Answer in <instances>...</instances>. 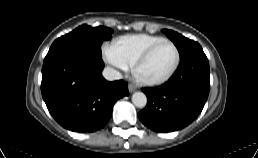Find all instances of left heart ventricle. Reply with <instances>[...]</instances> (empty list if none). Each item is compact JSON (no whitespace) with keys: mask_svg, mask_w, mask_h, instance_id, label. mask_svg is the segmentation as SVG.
<instances>
[{"mask_svg":"<svg viewBox=\"0 0 258 158\" xmlns=\"http://www.w3.org/2000/svg\"><path fill=\"white\" fill-rule=\"evenodd\" d=\"M176 52L172 45H160L148 58L140 69V74L145 78L155 79L166 74L174 65Z\"/></svg>","mask_w":258,"mask_h":158,"instance_id":"left-heart-ventricle-1","label":"left heart ventricle"}]
</instances>
